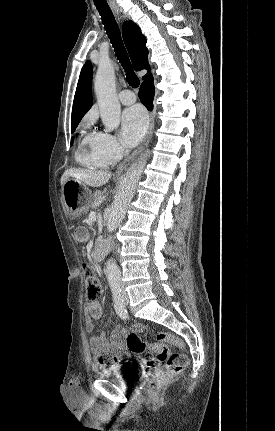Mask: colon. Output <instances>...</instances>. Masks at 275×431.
<instances>
[{"mask_svg": "<svg viewBox=\"0 0 275 431\" xmlns=\"http://www.w3.org/2000/svg\"><path fill=\"white\" fill-rule=\"evenodd\" d=\"M83 275L89 296L91 298L98 297L102 291L98 269L91 264H84ZM156 338L158 341L167 342L179 348L183 347V342L169 333L157 332ZM125 344L130 352L144 355L146 370L152 375V379L147 386L150 392L161 389L175 373L184 370L188 365V357L184 352H172L161 344H149L134 332H130L126 336ZM151 351L157 352L158 360L165 362L164 367L159 366L158 360L150 354ZM98 362L101 366L109 365L111 363V356L102 355L98 358Z\"/></svg>", "mask_w": 275, "mask_h": 431, "instance_id": "5ec220e1", "label": "colon"}]
</instances>
